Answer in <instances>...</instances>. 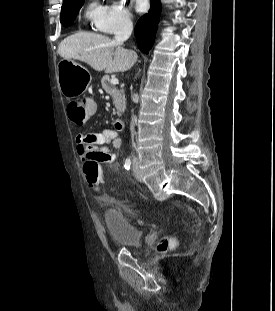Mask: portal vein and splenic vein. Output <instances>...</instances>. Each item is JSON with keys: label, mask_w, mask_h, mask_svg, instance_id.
I'll return each mask as SVG.
<instances>
[{"label": "portal vein and splenic vein", "mask_w": 275, "mask_h": 311, "mask_svg": "<svg viewBox=\"0 0 275 311\" xmlns=\"http://www.w3.org/2000/svg\"><path fill=\"white\" fill-rule=\"evenodd\" d=\"M111 83H112L113 85H116V84L119 83V80H118L117 78H113V79L111 80Z\"/></svg>", "instance_id": "1"}]
</instances>
